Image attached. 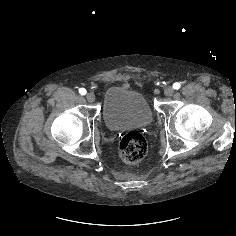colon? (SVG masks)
I'll return each mask as SVG.
<instances>
[{
	"label": "colon",
	"instance_id": "obj_1",
	"mask_svg": "<svg viewBox=\"0 0 236 236\" xmlns=\"http://www.w3.org/2000/svg\"><path fill=\"white\" fill-rule=\"evenodd\" d=\"M118 153L123 161L137 163L147 153V142L139 131H129L124 134L118 143Z\"/></svg>",
	"mask_w": 236,
	"mask_h": 236
}]
</instances>
